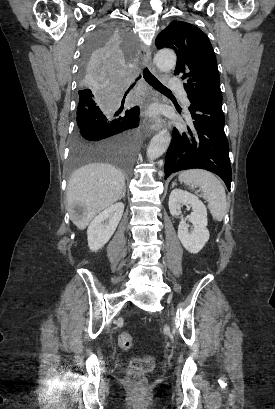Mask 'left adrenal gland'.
<instances>
[{
    "instance_id": "obj_1",
    "label": "left adrenal gland",
    "mask_w": 275,
    "mask_h": 409,
    "mask_svg": "<svg viewBox=\"0 0 275 409\" xmlns=\"http://www.w3.org/2000/svg\"><path fill=\"white\" fill-rule=\"evenodd\" d=\"M175 184H176V180H173L171 188H173V186H175Z\"/></svg>"
}]
</instances>
